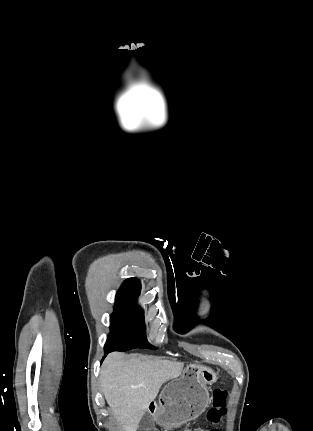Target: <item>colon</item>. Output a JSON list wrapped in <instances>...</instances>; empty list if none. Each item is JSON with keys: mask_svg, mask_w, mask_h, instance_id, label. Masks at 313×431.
I'll list each match as a JSON object with an SVG mask.
<instances>
[{"mask_svg": "<svg viewBox=\"0 0 313 431\" xmlns=\"http://www.w3.org/2000/svg\"><path fill=\"white\" fill-rule=\"evenodd\" d=\"M227 390L215 389L212 393V406L207 413V418L212 423H218L223 415L226 413L227 404ZM184 431H220L218 428H212L210 430L202 428L186 429Z\"/></svg>", "mask_w": 313, "mask_h": 431, "instance_id": "5ec220e1", "label": "colon"}]
</instances>
